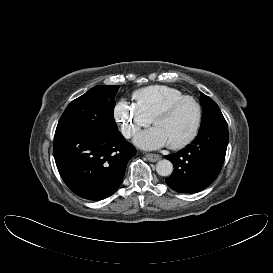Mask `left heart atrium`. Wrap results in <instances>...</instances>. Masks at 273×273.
Segmentation results:
<instances>
[{
	"mask_svg": "<svg viewBox=\"0 0 273 273\" xmlns=\"http://www.w3.org/2000/svg\"><path fill=\"white\" fill-rule=\"evenodd\" d=\"M134 143L144 150H152L168 145L164 136L155 127L138 133L134 138Z\"/></svg>",
	"mask_w": 273,
	"mask_h": 273,
	"instance_id": "obj_1",
	"label": "left heart atrium"
}]
</instances>
